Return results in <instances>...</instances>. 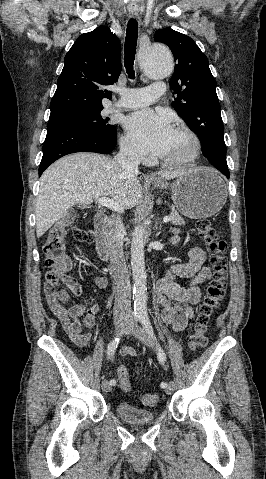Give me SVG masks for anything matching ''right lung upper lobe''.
<instances>
[{
  "mask_svg": "<svg viewBox=\"0 0 266 479\" xmlns=\"http://www.w3.org/2000/svg\"><path fill=\"white\" fill-rule=\"evenodd\" d=\"M121 73L118 37L106 26L80 35L65 56V63L51 100V113L73 108H99L111 99L105 86Z\"/></svg>",
  "mask_w": 266,
  "mask_h": 479,
  "instance_id": "1",
  "label": "right lung upper lobe"
}]
</instances>
